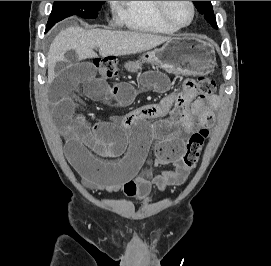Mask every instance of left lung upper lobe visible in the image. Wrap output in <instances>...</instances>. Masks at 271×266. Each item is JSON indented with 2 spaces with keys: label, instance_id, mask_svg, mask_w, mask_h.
Here are the masks:
<instances>
[{
  "label": "left lung upper lobe",
  "instance_id": "5c2ea615",
  "mask_svg": "<svg viewBox=\"0 0 271 266\" xmlns=\"http://www.w3.org/2000/svg\"><path fill=\"white\" fill-rule=\"evenodd\" d=\"M197 10L204 15V18L209 22L212 27L218 28L216 24V18L213 13L211 1H192Z\"/></svg>",
  "mask_w": 271,
  "mask_h": 266
}]
</instances>
